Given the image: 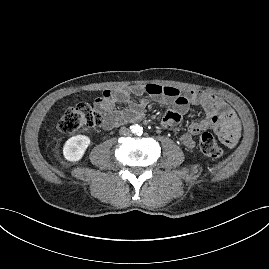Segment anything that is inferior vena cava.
<instances>
[{"mask_svg": "<svg viewBox=\"0 0 269 269\" xmlns=\"http://www.w3.org/2000/svg\"><path fill=\"white\" fill-rule=\"evenodd\" d=\"M125 131L127 132V134H130V131L128 129H125Z\"/></svg>", "mask_w": 269, "mask_h": 269, "instance_id": "1", "label": "inferior vena cava"}]
</instances>
